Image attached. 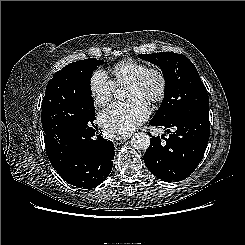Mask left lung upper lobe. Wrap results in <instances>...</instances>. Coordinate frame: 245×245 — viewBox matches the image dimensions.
Wrapping results in <instances>:
<instances>
[{
  "mask_svg": "<svg viewBox=\"0 0 245 245\" xmlns=\"http://www.w3.org/2000/svg\"><path fill=\"white\" fill-rule=\"evenodd\" d=\"M139 58L161 68L165 78V98L152 119L167 123L196 107H209L207 90L193 63L173 52L139 54Z\"/></svg>",
  "mask_w": 245,
  "mask_h": 245,
  "instance_id": "1",
  "label": "left lung upper lobe"
}]
</instances>
